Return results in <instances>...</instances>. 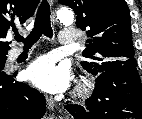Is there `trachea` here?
<instances>
[{
  "label": "trachea",
  "instance_id": "trachea-1",
  "mask_svg": "<svg viewBox=\"0 0 142 119\" xmlns=\"http://www.w3.org/2000/svg\"><path fill=\"white\" fill-rule=\"evenodd\" d=\"M50 14V6L48 2L43 1L38 8L34 28L29 36L24 39L20 34H16L15 40L18 42L22 41L24 43V47H31L42 35L51 38L53 32L51 28Z\"/></svg>",
  "mask_w": 142,
  "mask_h": 119
}]
</instances>
